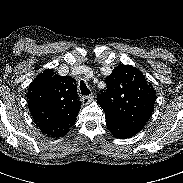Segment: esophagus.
I'll return each mask as SVG.
<instances>
[{"instance_id": "1", "label": "esophagus", "mask_w": 183, "mask_h": 183, "mask_svg": "<svg viewBox=\"0 0 183 183\" xmlns=\"http://www.w3.org/2000/svg\"><path fill=\"white\" fill-rule=\"evenodd\" d=\"M94 100V96L91 95H85L82 97L81 101L84 105L89 104L90 102H92Z\"/></svg>"}]
</instances>
